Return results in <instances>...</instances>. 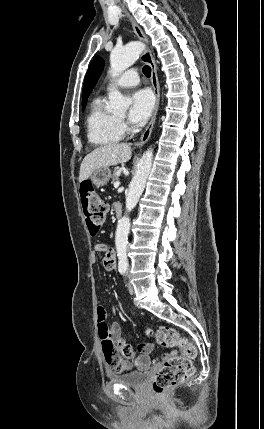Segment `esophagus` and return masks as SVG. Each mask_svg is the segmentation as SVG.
I'll return each instance as SVG.
<instances>
[{"label":"esophagus","mask_w":264,"mask_h":429,"mask_svg":"<svg viewBox=\"0 0 264 429\" xmlns=\"http://www.w3.org/2000/svg\"><path fill=\"white\" fill-rule=\"evenodd\" d=\"M125 14L130 19L131 24H132V28H133L135 34L137 35V37L142 42H144L146 44V48L144 49V51L141 55V59L144 63H147L151 68V84H152V89H153V92L155 95V106H154V110H153L151 120H150L148 126L146 127L145 131L143 132L139 142H137V144H136L137 146H142L150 138V135L152 133L153 126L155 123V119H156V115H157V111H158V106H159V100H160L159 81H158L157 67H156L155 60L151 54L149 47L147 46V43H148L147 38L145 37L141 28L136 24V22L132 19V17L128 14L127 11H125Z\"/></svg>","instance_id":"34e87169"}]
</instances>
